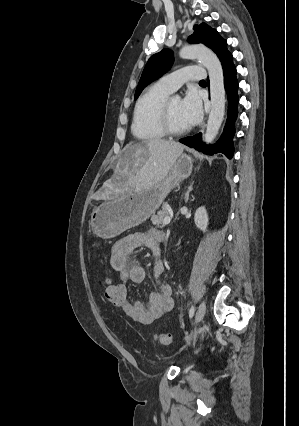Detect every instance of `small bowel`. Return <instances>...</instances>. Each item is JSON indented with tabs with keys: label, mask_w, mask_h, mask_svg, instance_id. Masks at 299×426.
<instances>
[{
	"label": "small bowel",
	"mask_w": 299,
	"mask_h": 426,
	"mask_svg": "<svg viewBox=\"0 0 299 426\" xmlns=\"http://www.w3.org/2000/svg\"><path fill=\"white\" fill-rule=\"evenodd\" d=\"M162 240L163 234L156 229L135 232L118 240L111 251L110 264L118 272L120 282L126 289L129 282L141 283L145 279L144 268L131 258L135 250L145 246L152 252V272L157 284L156 291L149 295L146 306L140 302L126 300L121 308L133 320L145 325L171 311L174 306L172 288L161 279L165 267L164 260L159 254V244Z\"/></svg>",
	"instance_id": "c3829d8e"
}]
</instances>
